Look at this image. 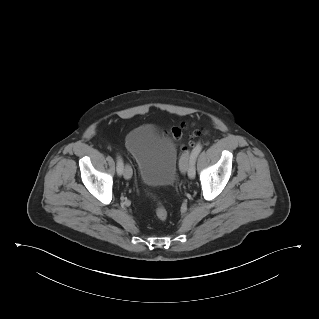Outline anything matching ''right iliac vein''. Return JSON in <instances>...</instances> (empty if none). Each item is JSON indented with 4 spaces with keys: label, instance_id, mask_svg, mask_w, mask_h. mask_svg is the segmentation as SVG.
Wrapping results in <instances>:
<instances>
[{
    "label": "right iliac vein",
    "instance_id": "63e3f726",
    "mask_svg": "<svg viewBox=\"0 0 319 319\" xmlns=\"http://www.w3.org/2000/svg\"><path fill=\"white\" fill-rule=\"evenodd\" d=\"M123 175L125 179H130L132 177V169L129 164L125 165Z\"/></svg>",
    "mask_w": 319,
    "mask_h": 319
}]
</instances>
